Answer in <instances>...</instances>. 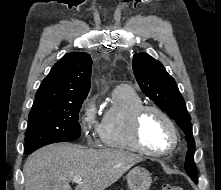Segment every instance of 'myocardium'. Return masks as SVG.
I'll return each instance as SVG.
<instances>
[{
    "instance_id": "myocardium-1",
    "label": "myocardium",
    "mask_w": 221,
    "mask_h": 190,
    "mask_svg": "<svg viewBox=\"0 0 221 190\" xmlns=\"http://www.w3.org/2000/svg\"><path fill=\"white\" fill-rule=\"evenodd\" d=\"M147 112H155L159 116H161L164 121L168 124L172 137H173V142L171 146L167 149L164 150H154L149 148L144 141L141 138V123L143 120V117ZM131 137L134 142V144L137 146V148L144 154L150 155V156H155V157H161L164 155H167L171 152H173L177 146L179 145L180 137H179V132L178 129L171 119V117L161 108L155 106V105H142L139 108L136 109L132 116L131 120Z\"/></svg>"
}]
</instances>
